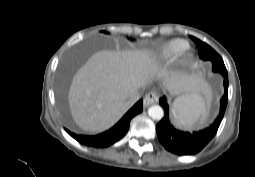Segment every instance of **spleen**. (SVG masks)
I'll use <instances>...</instances> for the list:
<instances>
[{"label": "spleen", "instance_id": "1", "mask_svg": "<svg viewBox=\"0 0 255 177\" xmlns=\"http://www.w3.org/2000/svg\"><path fill=\"white\" fill-rule=\"evenodd\" d=\"M173 108L178 124L183 126L189 127L197 122L200 117L202 121L206 117L203 100L197 94L176 99Z\"/></svg>", "mask_w": 255, "mask_h": 177}]
</instances>
